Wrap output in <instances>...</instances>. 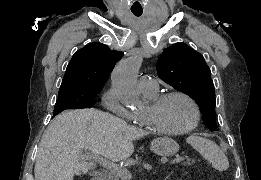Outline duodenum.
Here are the masks:
<instances>
[{
	"instance_id": "410a0bca",
	"label": "duodenum",
	"mask_w": 261,
	"mask_h": 180,
	"mask_svg": "<svg viewBox=\"0 0 261 180\" xmlns=\"http://www.w3.org/2000/svg\"><path fill=\"white\" fill-rule=\"evenodd\" d=\"M90 180H103L102 177H91Z\"/></svg>"
}]
</instances>
